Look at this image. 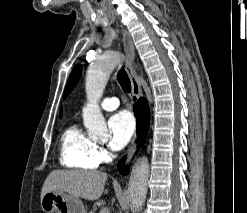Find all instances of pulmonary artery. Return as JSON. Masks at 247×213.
Returning a JSON list of instances; mask_svg holds the SVG:
<instances>
[{
    "label": "pulmonary artery",
    "mask_w": 247,
    "mask_h": 213,
    "mask_svg": "<svg viewBox=\"0 0 247 213\" xmlns=\"http://www.w3.org/2000/svg\"><path fill=\"white\" fill-rule=\"evenodd\" d=\"M119 104L120 102L117 97H107L103 99L100 106L104 110L111 111V110L116 109L119 106Z\"/></svg>",
    "instance_id": "pulmonary-artery-1"
}]
</instances>
